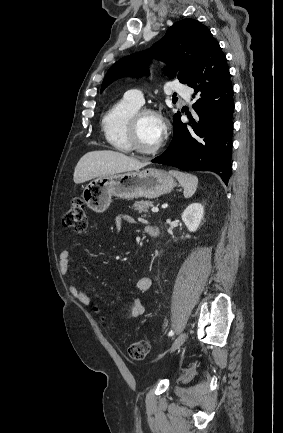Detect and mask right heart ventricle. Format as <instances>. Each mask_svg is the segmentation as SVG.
I'll use <instances>...</instances> for the list:
<instances>
[{
	"label": "right heart ventricle",
	"mask_w": 283,
	"mask_h": 433,
	"mask_svg": "<svg viewBox=\"0 0 283 433\" xmlns=\"http://www.w3.org/2000/svg\"><path fill=\"white\" fill-rule=\"evenodd\" d=\"M126 98L113 105L102 117L101 128L107 142L116 150L131 151L128 141V123L132 114L139 109Z\"/></svg>",
	"instance_id": "1"
}]
</instances>
